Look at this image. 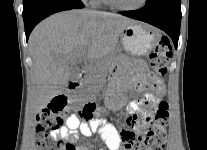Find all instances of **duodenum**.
<instances>
[{"instance_id":"duodenum-1","label":"duodenum","mask_w":207,"mask_h":150,"mask_svg":"<svg viewBox=\"0 0 207 150\" xmlns=\"http://www.w3.org/2000/svg\"><path fill=\"white\" fill-rule=\"evenodd\" d=\"M81 85V79H77L69 83L68 88L69 90H76Z\"/></svg>"}]
</instances>
